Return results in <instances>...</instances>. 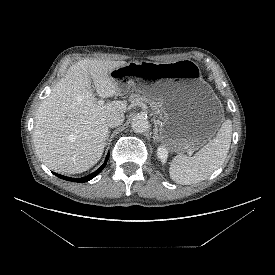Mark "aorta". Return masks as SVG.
<instances>
[{"label": "aorta", "instance_id": "obj_1", "mask_svg": "<svg viewBox=\"0 0 275 275\" xmlns=\"http://www.w3.org/2000/svg\"><path fill=\"white\" fill-rule=\"evenodd\" d=\"M131 126L136 133H144L149 128V121L144 115H136L131 121Z\"/></svg>", "mask_w": 275, "mask_h": 275}]
</instances>
